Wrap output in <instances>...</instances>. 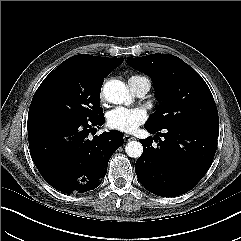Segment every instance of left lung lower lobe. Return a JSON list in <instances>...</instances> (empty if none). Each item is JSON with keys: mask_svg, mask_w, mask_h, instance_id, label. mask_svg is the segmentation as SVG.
Segmentation results:
<instances>
[{"mask_svg": "<svg viewBox=\"0 0 241 241\" xmlns=\"http://www.w3.org/2000/svg\"><path fill=\"white\" fill-rule=\"evenodd\" d=\"M145 128L156 135L140 140L143 153L135 164L140 183L163 197H175L191 190L213 161L219 126L188 123L163 129ZM153 140L158 142L157 147L152 146Z\"/></svg>", "mask_w": 241, "mask_h": 241, "instance_id": "obj_1", "label": "left lung lower lobe"}]
</instances>
